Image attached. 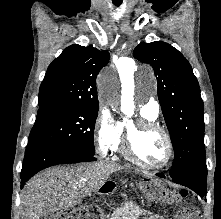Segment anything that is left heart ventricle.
<instances>
[{
	"mask_svg": "<svg viewBox=\"0 0 221 219\" xmlns=\"http://www.w3.org/2000/svg\"><path fill=\"white\" fill-rule=\"evenodd\" d=\"M136 155L149 165H161L167 155V144L157 131H140L134 139Z\"/></svg>",
	"mask_w": 221,
	"mask_h": 219,
	"instance_id": "1",
	"label": "left heart ventricle"
}]
</instances>
